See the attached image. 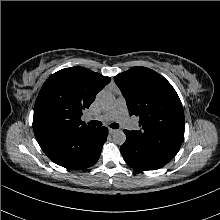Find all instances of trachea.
I'll return each instance as SVG.
<instances>
[{"mask_svg": "<svg viewBox=\"0 0 220 220\" xmlns=\"http://www.w3.org/2000/svg\"><path fill=\"white\" fill-rule=\"evenodd\" d=\"M88 124L93 125V126H101L102 125V123L100 121H96V120H92ZM109 126L113 129H118L119 128L118 123H112Z\"/></svg>", "mask_w": 220, "mask_h": 220, "instance_id": "trachea-1", "label": "trachea"}]
</instances>
